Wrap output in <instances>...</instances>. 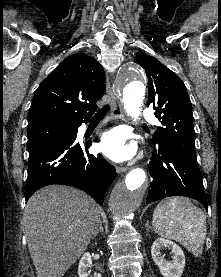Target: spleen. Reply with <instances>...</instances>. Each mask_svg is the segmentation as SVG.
I'll use <instances>...</instances> for the list:
<instances>
[{"label": "spleen", "instance_id": "3e777b00", "mask_svg": "<svg viewBox=\"0 0 221 277\" xmlns=\"http://www.w3.org/2000/svg\"><path fill=\"white\" fill-rule=\"evenodd\" d=\"M152 225L160 236L179 242L196 257L202 253L206 217L188 198L162 200L154 210Z\"/></svg>", "mask_w": 221, "mask_h": 277}]
</instances>
